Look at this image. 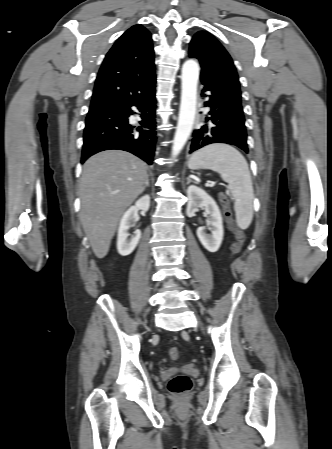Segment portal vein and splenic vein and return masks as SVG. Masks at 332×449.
Here are the masks:
<instances>
[{
    "label": "portal vein and splenic vein",
    "instance_id": "18ae733b",
    "mask_svg": "<svg viewBox=\"0 0 332 449\" xmlns=\"http://www.w3.org/2000/svg\"><path fill=\"white\" fill-rule=\"evenodd\" d=\"M207 186L212 187V186H214V183L211 182L210 184H207Z\"/></svg>",
    "mask_w": 332,
    "mask_h": 449
}]
</instances>
